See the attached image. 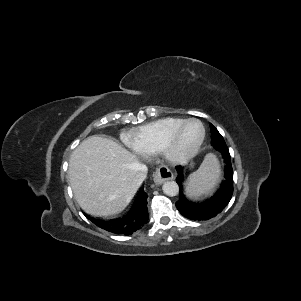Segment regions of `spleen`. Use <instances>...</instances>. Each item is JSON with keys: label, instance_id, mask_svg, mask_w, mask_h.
I'll list each match as a JSON object with an SVG mask.
<instances>
[{"label": "spleen", "instance_id": "obj_1", "mask_svg": "<svg viewBox=\"0 0 301 301\" xmlns=\"http://www.w3.org/2000/svg\"><path fill=\"white\" fill-rule=\"evenodd\" d=\"M219 162L215 155H206L200 168L190 175L186 191L191 197L208 194L219 179Z\"/></svg>", "mask_w": 301, "mask_h": 301}]
</instances>
